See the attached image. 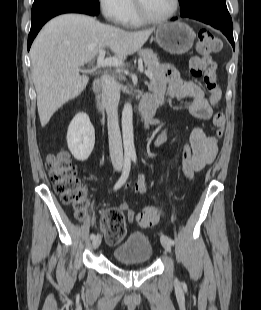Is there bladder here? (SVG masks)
Segmentation results:
<instances>
[{"instance_id":"1","label":"bladder","mask_w":261,"mask_h":310,"mask_svg":"<svg viewBox=\"0 0 261 310\" xmlns=\"http://www.w3.org/2000/svg\"><path fill=\"white\" fill-rule=\"evenodd\" d=\"M153 255L149 237L140 231H134L112 250V257L121 263H147Z\"/></svg>"}]
</instances>
